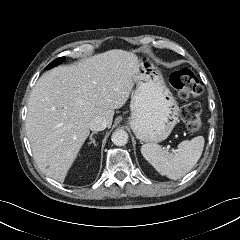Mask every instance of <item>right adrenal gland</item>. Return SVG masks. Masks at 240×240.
Segmentation results:
<instances>
[{
	"label": "right adrenal gland",
	"mask_w": 240,
	"mask_h": 240,
	"mask_svg": "<svg viewBox=\"0 0 240 240\" xmlns=\"http://www.w3.org/2000/svg\"><path fill=\"white\" fill-rule=\"evenodd\" d=\"M96 134V132H92L91 135H90V142L88 143L89 145L90 144H93L94 146H96V142L95 140L93 139V135Z\"/></svg>",
	"instance_id": "1"
}]
</instances>
